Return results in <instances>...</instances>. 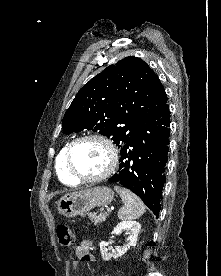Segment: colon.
Returning <instances> with one entry per match:
<instances>
[{"label": "colon", "instance_id": "colon-1", "mask_svg": "<svg viewBox=\"0 0 221 276\" xmlns=\"http://www.w3.org/2000/svg\"><path fill=\"white\" fill-rule=\"evenodd\" d=\"M56 233L60 246L71 247L75 243V233L69 223L58 225Z\"/></svg>", "mask_w": 221, "mask_h": 276}]
</instances>
